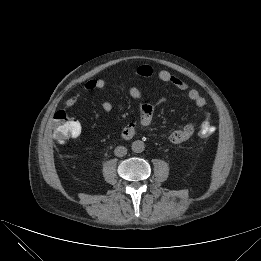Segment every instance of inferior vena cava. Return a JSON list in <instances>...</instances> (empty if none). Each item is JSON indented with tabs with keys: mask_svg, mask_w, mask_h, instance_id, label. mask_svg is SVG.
<instances>
[{
	"mask_svg": "<svg viewBox=\"0 0 261 261\" xmlns=\"http://www.w3.org/2000/svg\"><path fill=\"white\" fill-rule=\"evenodd\" d=\"M114 154L117 157H123L127 154V149L124 146H117L114 150Z\"/></svg>",
	"mask_w": 261,
	"mask_h": 261,
	"instance_id": "inferior-vena-cava-1",
	"label": "inferior vena cava"
}]
</instances>
